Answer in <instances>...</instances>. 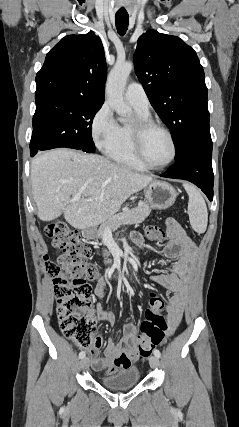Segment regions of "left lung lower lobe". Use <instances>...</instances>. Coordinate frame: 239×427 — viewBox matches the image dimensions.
Wrapping results in <instances>:
<instances>
[{"label":"left lung lower lobe","instance_id":"1","mask_svg":"<svg viewBox=\"0 0 239 427\" xmlns=\"http://www.w3.org/2000/svg\"><path fill=\"white\" fill-rule=\"evenodd\" d=\"M212 141L190 145L161 177L183 179L194 183L213 199Z\"/></svg>","mask_w":239,"mask_h":427}]
</instances>
